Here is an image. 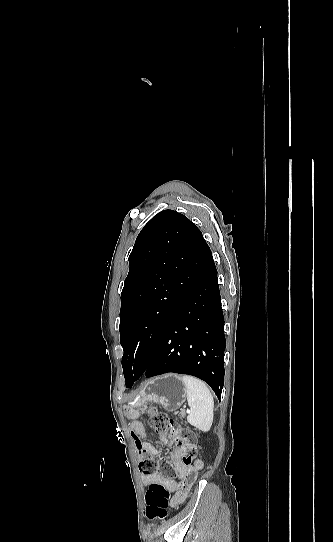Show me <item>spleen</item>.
Masks as SVG:
<instances>
[{"instance_id": "obj_1", "label": "spleen", "mask_w": 333, "mask_h": 542, "mask_svg": "<svg viewBox=\"0 0 333 542\" xmlns=\"http://www.w3.org/2000/svg\"><path fill=\"white\" fill-rule=\"evenodd\" d=\"M186 390L187 404L190 414L187 416L188 424L200 430L209 432L213 424V396L206 384L194 376H180Z\"/></svg>"}]
</instances>
